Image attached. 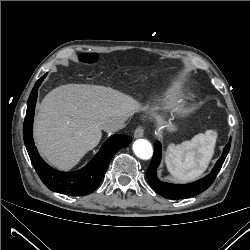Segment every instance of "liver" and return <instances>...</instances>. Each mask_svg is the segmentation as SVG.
Wrapping results in <instances>:
<instances>
[{"label": "liver", "instance_id": "liver-1", "mask_svg": "<svg viewBox=\"0 0 250 250\" xmlns=\"http://www.w3.org/2000/svg\"><path fill=\"white\" fill-rule=\"evenodd\" d=\"M139 104L110 87L66 84L50 91L35 118L40 154L59 169H71L101 140L104 123L130 117Z\"/></svg>", "mask_w": 250, "mask_h": 250}]
</instances>
